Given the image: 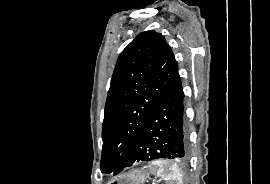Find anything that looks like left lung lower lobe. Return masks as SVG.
<instances>
[{
    "instance_id": "left-lung-lower-lobe-1",
    "label": "left lung lower lobe",
    "mask_w": 270,
    "mask_h": 184,
    "mask_svg": "<svg viewBox=\"0 0 270 184\" xmlns=\"http://www.w3.org/2000/svg\"><path fill=\"white\" fill-rule=\"evenodd\" d=\"M188 156L184 93L181 77L177 72L139 134L121 171L140 161L155 159L185 161Z\"/></svg>"
}]
</instances>
